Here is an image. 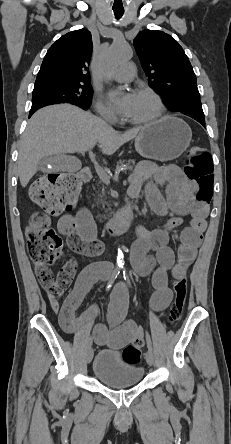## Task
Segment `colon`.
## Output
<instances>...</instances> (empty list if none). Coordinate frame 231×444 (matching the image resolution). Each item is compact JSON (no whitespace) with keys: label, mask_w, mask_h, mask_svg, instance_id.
Returning <instances> with one entry per match:
<instances>
[{"label":"colon","mask_w":231,"mask_h":444,"mask_svg":"<svg viewBox=\"0 0 231 444\" xmlns=\"http://www.w3.org/2000/svg\"><path fill=\"white\" fill-rule=\"evenodd\" d=\"M185 174L198 186L197 199L209 203L212 198L213 164L209 152L193 145L185 157ZM81 182L74 174L53 173L36 180L30 188L31 200L45 212L35 213L27 226L26 238L29 255L37 269L38 280L43 289L52 294L62 293L75 275L74 262L67 263L55 276L50 265L61 255L62 241L49 227L50 216L69 211L73 208ZM175 298L168 313L171 324L177 322L182 314L186 295L187 280L177 278L174 282ZM142 341L127 346L122 355L128 361L138 362Z\"/></svg>","instance_id":"obj_1"}]
</instances>
